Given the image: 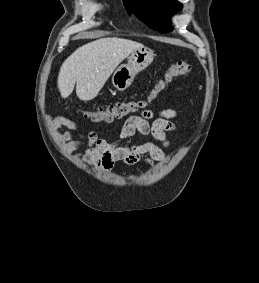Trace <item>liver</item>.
<instances>
[{
  "label": "liver",
  "mask_w": 259,
  "mask_h": 283,
  "mask_svg": "<svg viewBox=\"0 0 259 283\" xmlns=\"http://www.w3.org/2000/svg\"><path fill=\"white\" fill-rule=\"evenodd\" d=\"M143 44L117 37L100 38L79 47L62 64L58 88L62 98L74 90L80 100L94 99L116 67Z\"/></svg>",
  "instance_id": "liver-1"
}]
</instances>
